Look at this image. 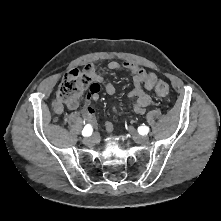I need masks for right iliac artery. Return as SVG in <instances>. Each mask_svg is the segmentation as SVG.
<instances>
[{
  "label": "right iliac artery",
  "instance_id": "1",
  "mask_svg": "<svg viewBox=\"0 0 221 221\" xmlns=\"http://www.w3.org/2000/svg\"><path fill=\"white\" fill-rule=\"evenodd\" d=\"M92 132H93L92 126L90 124H87L82 131V135L88 137L92 134Z\"/></svg>",
  "mask_w": 221,
  "mask_h": 221
}]
</instances>
